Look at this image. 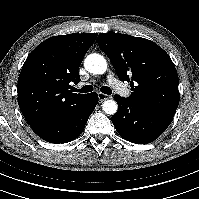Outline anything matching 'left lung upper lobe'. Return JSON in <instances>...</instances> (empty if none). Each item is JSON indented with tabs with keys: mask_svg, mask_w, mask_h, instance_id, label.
Returning <instances> with one entry per match:
<instances>
[{
	"mask_svg": "<svg viewBox=\"0 0 199 199\" xmlns=\"http://www.w3.org/2000/svg\"><path fill=\"white\" fill-rule=\"evenodd\" d=\"M99 47L121 81H130L129 99L173 117L179 104L178 75L169 55L156 43L121 33H101Z\"/></svg>",
	"mask_w": 199,
	"mask_h": 199,
	"instance_id": "5c2ea615",
	"label": "left lung upper lobe"
}]
</instances>
